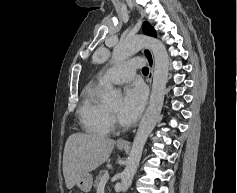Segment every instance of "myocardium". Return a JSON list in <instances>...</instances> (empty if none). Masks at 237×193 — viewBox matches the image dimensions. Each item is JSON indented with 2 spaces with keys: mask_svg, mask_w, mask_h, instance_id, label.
Returning a JSON list of instances; mask_svg holds the SVG:
<instances>
[{
  "mask_svg": "<svg viewBox=\"0 0 237 193\" xmlns=\"http://www.w3.org/2000/svg\"><path fill=\"white\" fill-rule=\"evenodd\" d=\"M107 114H108V118H109L111 126L119 124L116 114L112 113L109 109H107Z\"/></svg>",
  "mask_w": 237,
  "mask_h": 193,
  "instance_id": "f54148a6",
  "label": "myocardium"
}]
</instances>
